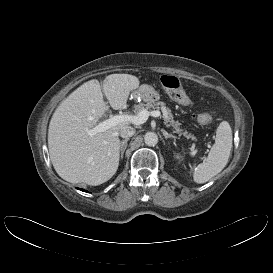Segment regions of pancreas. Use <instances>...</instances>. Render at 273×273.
Here are the masks:
<instances>
[{
	"label": "pancreas",
	"instance_id": "1",
	"mask_svg": "<svg viewBox=\"0 0 273 273\" xmlns=\"http://www.w3.org/2000/svg\"><path fill=\"white\" fill-rule=\"evenodd\" d=\"M152 109H160L163 113V119H164V124L167 127L172 126L173 127V132L179 134V136L183 135L186 138H191L192 140L195 139V137L188 133L186 130L184 131L181 127H180V123L178 121L174 120L173 114L171 113V110L166 107L164 102H156V103H152V102H147V103H140L138 105H134V112L135 113H139L142 110H147L149 112H151Z\"/></svg>",
	"mask_w": 273,
	"mask_h": 273
}]
</instances>
